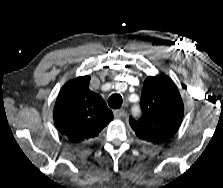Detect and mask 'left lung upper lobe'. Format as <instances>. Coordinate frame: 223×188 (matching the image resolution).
Masks as SVG:
<instances>
[{
	"label": "left lung upper lobe",
	"mask_w": 223,
	"mask_h": 188,
	"mask_svg": "<svg viewBox=\"0 0 223 188\" xmlns=\"http://www.w3.org/2000/svg\"><path fill=\"white\" fill-rule=\"evenodd\" d=\"M142 116L130 125L136 135L149 143L159 144L171 138L181 125L184 107L174 82L167 76L147 77L140 101Z\"/></svg>",
	"instance_id": "obj_1"
}]
</instances>
